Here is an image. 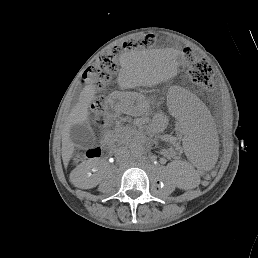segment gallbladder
Instances as JSON below:
<instances>
[{"label": "gallbladder", "instance_id": "obj_1", "mask_svg": "<svg viewBox=\"0 0 258 258\" xmlns=\"http://www.w3.org/2000/svg\"><path fill=\"white\" fill-rule=\"evenodd\" d=\"M70 139L79 148L86 149L94 145L95 136L91 127L86 124H74L70 127Z\"/></svg>", "mask_w": 258, "mask_h": 258}]
</instances>
